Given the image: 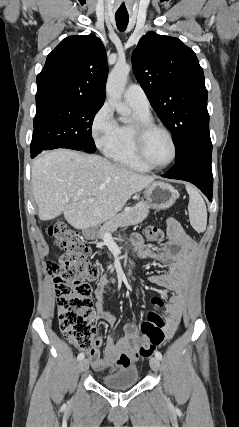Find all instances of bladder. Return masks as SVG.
I'll return each instance as SVG.
<instances>
[{
  "instance_id": "31cf9c89",
  "label": "bladder",
  "mask_w": 239,
  "mask_h": 427,
  "mask_svg": "<svg viewBox=\"0 0 239 427\" xmlns=\"http://www.w3.org/2000/svg\"><path fill=\"white\" fill-rule=\"evenodd\" d=\"M139 380L137 368L130 367L118 370L101 378L103 385L114 390L127 389L134 386Z\"/></svg>"
}]
</instances>
